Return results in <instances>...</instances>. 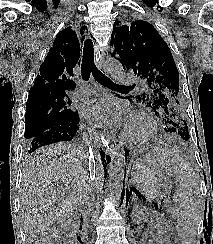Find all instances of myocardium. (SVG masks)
I'll return each mask as SVG.
<instances>
[{
  "label": "myocardium",
  "mask_w": 213,
  "mask_h": 244,
  "mask_svg": "<svg viewBox=\"0 0 213 244\" xmlns=\"http://www.w3.org/2000/svg\"><path fill=\"white\" fill-rule=\"evenodd\" d=\"M133 120H140L144 123L145 129L141 134H130L127 130L124 131L122 137L129 143H145L151 140L157 132V124L155 119L144 111H138L135 113Z\"/></svg>",
  "instance_id": "1"
}]
</instances>
